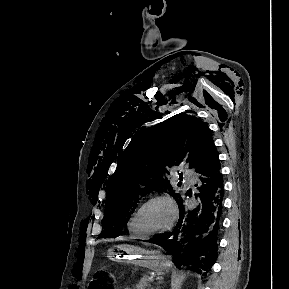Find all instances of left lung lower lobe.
<instances>
[{
	"mask_svg": "<svg viewBox=\"0 0 289 289\" xmlns=\"http://www.w3.org/2000/svg\"><path fill=\"white\" fill-rule=\"evenodd\" d=\"M216 149L204 165L196 171L198 192L187 207L180 196L176 202L180 216L170 233L161 234L149 242L166 248L174 258L185 265H194V271L206 276L217 253V231L222 210L223 177ZM187 195H191L190 192Z\"/></svg>",
	"mask_w": 289,
	"mask_h": 289,
	"instance_id": "left-lung-lower-lobe-1",
	"label": "left lung lower lobe"
}]
</instances>
